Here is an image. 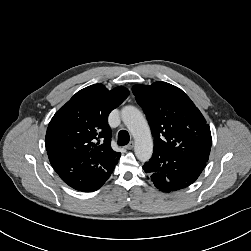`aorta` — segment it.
Returning a JSON list of instances; mask_svg holds the SVG:
<instances>
[{"mask_svg":"<svg viewBox=\"0 0 251 251\" xmlns=\"http://www.w3.org/2000/svg\"><path fill=\"white\" fill-rule=\"evenodd\" d=\"M121 118L135 140V155L141 162L148 161L153 153V141L149 125L143 114L134 106H125Z\"/></svg>","mask_w":251,"mask_h":251,"instance_id":"aorta-1","label":"aorta"}]
</instances>
